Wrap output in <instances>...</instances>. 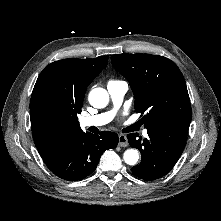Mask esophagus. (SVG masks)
<instances>
[{
    "mask_svg": "<svg viewBox=\"0 0 221 221\" xmlns=\"http://www.w3.org/2000/svg\"><path fill=\"white\" fill-rule=\"evenodd\" d=\"M119 146L126 147L128 146V140L127 137L123 134L119 135Z\"/></svg>",
    "mask_w": 221,
    "mask_h": 221,
    "instance_id": "34e87169",
    "label": "esophagus"
}]
</instances>
